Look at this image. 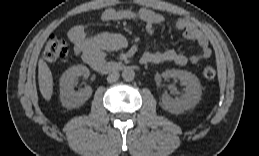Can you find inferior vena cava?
<instances>
[{
    "label": "inferior vena cava",
    "mask_w": 259,
    "mask_h": 156,
    "mask_svg": "<svg viewBox=\"0 0 259 156\" xmlns=\"http://www.w3.org/2000/svg\"><path fill=\"white\" fill-rule=\"evenodd\" d=\"M119 76H120L119 72L113 71V72H111V73L108 75L107 81H108L109 83L116 82V81L119 79Z\"/></svg>",
    "instance_id": "inferior-vena-cava-1"
}]
</instances>
